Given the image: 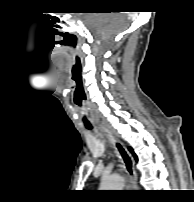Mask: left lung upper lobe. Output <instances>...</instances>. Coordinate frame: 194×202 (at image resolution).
<instances>
[{
    "label": "left lung upper lobe",
    "mask_w": 194,
    "mask_h": 202,
    "mask_svg": "<svg viewBox=\"0 0 194 202\" xmlns=\"http://www.w3.org/2000/svg\"><path fill=\"white\" fill-rule=\"evenodd\" d=\"M129 151L133 154L134 158L137 160V156H136V154L134 153V151H133V149L131 147L129 148Z\"/></svg>",
    "instance_id": "left-lung-upper-lobe-1"
}]
</instances>
